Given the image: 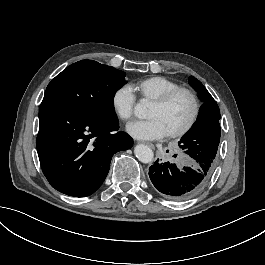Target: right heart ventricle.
<instances>
[{
	"label": "right heart ventricle",
	"mask_w": 265,
	"mask_h": 265,
	"mask_svg": "<svg viewBox=\"0 0 265 265\" xmlns=\"http://www.w3.org/2000/svg\"><path fill=\"white\" fill-rule=\"evenodd\" d=\"M129 87L143 100L153 103L168 92L180 88V85L163 76H151L134 81Z\"/></svg>",
	"instance_id": "obj_1"
}]
</instances>
